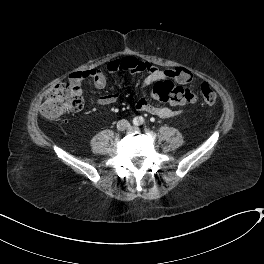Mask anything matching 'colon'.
<instances>
[{"label":"colon","mask_w":264,"mask_h":264,"mask_svg":"<svg viewBox=\"0 0 264 264\" xmlns=\"http://www.w3.org/2000/svg\"><path fill=\"white\" fill-rule=\"evenodd\" d=\"M167 79L160 81L154 88L155 97L174 105H182L191 102L194 98L190 88L176 85L174 81L185 82L187 75L181 67H173L166 70ZM201 94L204 102L213 105L216 102V92L208 84L201 86ZM85 106L80 80L75 77L59 83L49 91L41 104V114L49 120H56L70 112H78Z\"/></svg>","instance_id":"1"}]
</instances>
